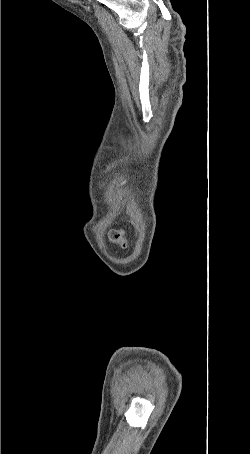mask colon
Returning <instances> with one entry per match:
<instances>
[{"label": "colon", "mask_w": 250, "mask_h": 454, "mask_svg": "<svg viewBox=\"0 0 250 454\" xmlns=\"http://www.w3.org/2000/svg\"><path fill=\"white\" fill-rule=\"evenodd\" d=\"M109 239L114 242L119 244L122 247L126 246V239L124 236V232L122 230H112L109 234Z\"/></svg>", "instance_id": "colon-1"}]
</instances>
